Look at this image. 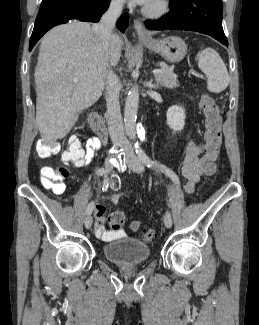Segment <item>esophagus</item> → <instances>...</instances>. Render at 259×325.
I'll return each instance as SVG.
<instances>
[{"mask_svg": "<svg viewBox=\"0 0 259 325\" xmlns=\"http://www.w3.org/2000/svg\"><path fill=\"white\" fill-rule=\"evenodd\" d=\"M133 28L135 29L139 37L144 39L151 38L150 34L148 33V31L146 30V28L144 27V25L139 19H134Z\"/></svg>", "mask_w": 259, "mask_h": 325, "instance_id": "1", "label": "esophagus"}]
</instances>
